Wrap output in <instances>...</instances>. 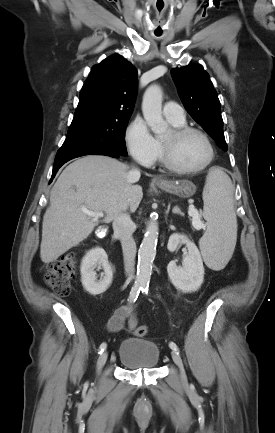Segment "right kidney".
Returning <instances> with one entry per match:
<instances>
[{"label":"right kidney","mask_w":275,"mask_h":433,"mask_svg":"<svg viewBox=\"0 0 275 433\" xmlns=\"http://www.w3.org/2000/svg\"><path fill=\"white\" fill-rule=\"evenodd\" d=\"M96 267L104 269L99 281L96 277ZM80 271L82 285L91 295L105 292L112 283V268L109 265L106 252L100 247L93 248L86 253L82 259Z\"/></svg>","instance_id":"obj_1"}]
</instances>
